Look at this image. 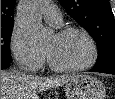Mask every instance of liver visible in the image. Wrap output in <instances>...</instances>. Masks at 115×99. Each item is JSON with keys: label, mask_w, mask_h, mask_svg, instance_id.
<instances>
[{"label": "liver", "mask_w": 115, "mask_h": 99, "mask_svg": "<svg viewBox=\"0 0 115 99\" xmlns=\"http://www.w3.org/2000/svg\"><path fill=\"white\" fill-rule=\"evenodd\" d=\"M76 75L40 78L1 70V99H39L40 91L63 86Z\"/></svg>", "instance_id": "obj_1"}]
</instances>
